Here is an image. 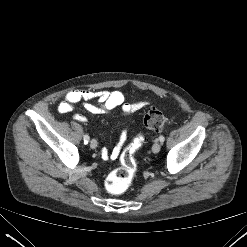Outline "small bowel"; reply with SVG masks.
Returning a JSON list of instances; mask_svg holds the SVG:
<instances>
[{"mask_svg": "<svg viewBox=\"0 0 247 247\" xmlns=\"http://www.w3.org/2000/svg\"><path fill=\"white\" fill-rule=\"evenodd\" d=\"M92 100H97L92 103ZM81 103L86 111L91 114H110L116 108H120L121 114L124 116L131 115L132 113L141 109L145 102L138 101L133 103L125 102L123 93L119 90H73L66 94L63 101L58 105L60 113H68L74 109L76 104ZM74 119L78 122H86L87 117L83 114H75ZM126 140V131L122 130L118 144L110 152L106 148L101 150V157L104 160L116 159L119 154L123 143Z\"/></svg>", "mask_w": 247, "mask_h": 247, "instance_id": "1", "label": "small bowel"}]
</instances>
